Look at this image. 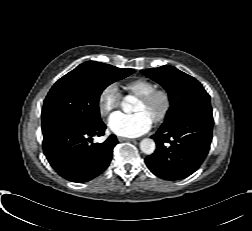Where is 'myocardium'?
Returning a JSON list of instances; mask_svg holds the SVG:
<instances>
[{"instance_id": "1", "label": "myocardium", "mask_w": 252, "mask_h": 231, "mask_svg": "<svg viewBox=\"0 0 252 231\" xmlns=\"http://www.w3.org/2000/svg\"><path fill=\"white\" fill-rule=\"evenodd\" d=\"M158 98L162 100V108L152 120L155 124L163 123L171 111L172 97L170 92L164 88H155L149 93L139 97V100L146 105L152 104Z\"/></svg>"}]
</instances>
